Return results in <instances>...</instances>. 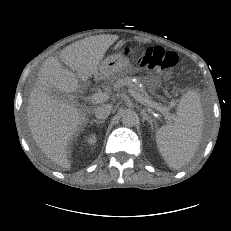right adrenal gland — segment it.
<instances>
[{
    "mask_svg": "<svg viewBox=\"0 0 231 231\" xmlns=\"http://www.w3.org/2000/svg\"><path fill=\"white\" fill-rule=\"evenodd\" d=\"M93 123L103 124V123H105V120H96V119H93L92 121H90V124H93Z\"/></svg>",
    "mask_w": 231,
    "mask_h": 231,
    "instance_id": "2a0ac1e0",
    "label": "right adrenal gland"
}]
</instances>
